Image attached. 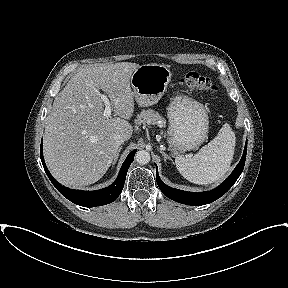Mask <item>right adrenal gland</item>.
<instances>
[{
  "mask_svg": "<svg viewBox=\"0 0 288 288\" xmlns=\"http://www.w3.org/2000/svg\"><path fill=\"white\" fill-rule=\"evenodd\" d=\"M121 149H122V146L119 147L118 152H117V155H116V157H115V159H114V161H113V164L116 163V161H117V159H118V157H119V153H120Z\"/></svg>",
  "mask_w": 288,
  "mask_h": 288,
  "instance_id": "1",
  "label": "right adrenal gland"
}]
</instances>
